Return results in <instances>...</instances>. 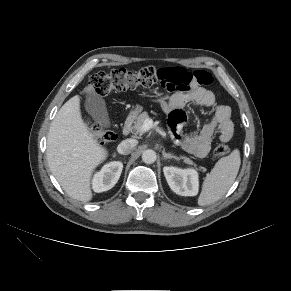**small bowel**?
<instances>
[{
  "label": "small bowel",
  "instance_id": "c3829d8e",
  "mask_svg": "<svg viewBox=\"0 0 291 291\" xmlns=\"http://www.w3.org/2000/svg\"><path fill=\"white\" fill-rule=\"evenodd\" d=\"M163 73L167 78L178 77L188 80L185 88L177 89L169 98L162 101V107L168 114L169 127L175 141L197 157L207 155L216 134L222 142H228L234 132L231 110L226 105L218 104L215 94L203 87L211 83L212 77L209 75L207 82L202 83L195 74L192 75L177 67L163 69ZM188 104L210 107L212 116L199 133L183 136L182 130L187 119L184 109Z\"/></svg>",
  "mask_w": 291,
  "mask_h": 291
}]
</instances>
